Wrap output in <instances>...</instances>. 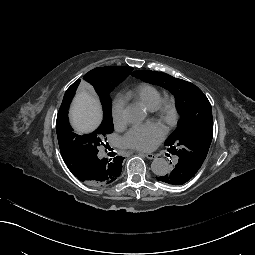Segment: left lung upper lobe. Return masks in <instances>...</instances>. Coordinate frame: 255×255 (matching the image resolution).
Here are the masks:
<instances>
[{
    "instance_id": "obj_1",
    "label": "left lung upper lobe",
    "mask_w": 255,
    "mask_h": 255,
    "mask_svg": "<svg viewBox=\"0 0 255 255\" xmlns=\"http://www.w3.org/2000/svg\"><path fill=\"white\" fill-rule=\"evenodd\" d=\"M132 76L162 86L175 96L181 118L165 145L170 153L177 155L178 162L190 167L195 174L204 162L213 138L209 100L194 84L165 73L137 70Z\"/></svg>"
}]
</instances>
